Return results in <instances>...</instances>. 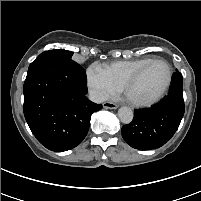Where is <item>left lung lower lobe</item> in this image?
<instances>
[{
    "instance_id": "left-lung-lower-lobe-1",
    "label": "left lung lower lobe",
    "mask_w": 201,
    "mask_h": 201,
    "mask_svg": "<svg viewBox=\"0 0 201 201\" xmlns=\"http://www.w3.org/2000/svg\"><path fill=\"white\" fill-rule=\"evenodd\" d=\"M184 111L183 77L177 71L168 95L151 108L135 110L132 122L122 127V137L135 149L159 148L174 135Z\"/></svg>"
}]
</instances>
